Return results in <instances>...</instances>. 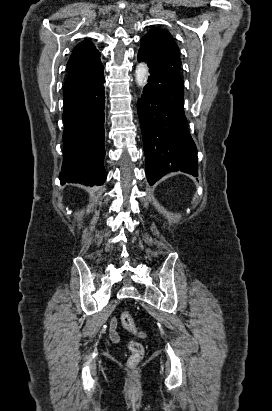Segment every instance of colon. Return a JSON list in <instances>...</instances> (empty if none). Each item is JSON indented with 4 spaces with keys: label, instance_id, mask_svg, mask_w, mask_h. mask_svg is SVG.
<instances>
[{
    "label": "colon",
    "instance_id": "1",
    "mask_svg": "<svg viewBox=\"0 0 272 411\" xmlns=\"http://www.w3.org/2000/svg\"><path fill=\"white\" fill-rule=\"evenodd\" d=\"M120 319L122 326L126 330L134 334L138 333V329L130 313L123 312ZM128 349L130 351V356L127 360V365L129 368H135L144 356V347L141 343L131 340L128 342Z\"/></svg>",
    "mask_w": 272,
    "mask_h": 411
}]
</instances>
